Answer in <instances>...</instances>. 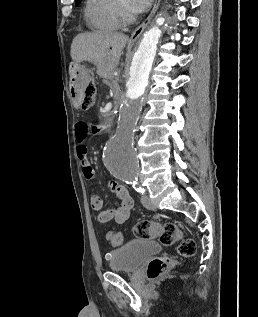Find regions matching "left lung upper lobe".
I'll return each instance as SVG.
<instances>
[{"mask_svg": "<svg viewBox=\"0 0 258 317\" xmlns=\"http://www.w3.org/2000/svg\"><path fill=\"white\" fill-rule=\"evenodd\" d=\"M82 0H75V4L78 5Z\"/></svg>", "mask_w": 258, "mask_h": 317, "instance_id": "obj_1", "label": "left lung upper lobe"}]
</instances>
